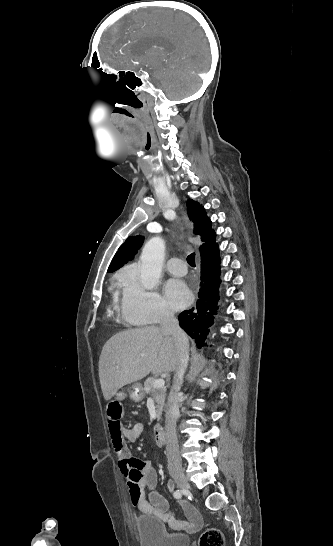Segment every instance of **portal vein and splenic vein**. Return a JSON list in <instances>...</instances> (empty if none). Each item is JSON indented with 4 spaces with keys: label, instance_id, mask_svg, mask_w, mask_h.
I'll list each match as a JSON object with an SVG mask.
<instances>
[{
    "label": "portal vein and splenic vein",
    "instance_id": "portal-vein-and-splenic-vein-1",
    "mask_svg": "<svg viewBox=\"0 0 333 546\" xmlns=\"http://www.w3.org/2000/svg\"><path fill=\"white\" fill-rule=\"evenodd\" d=\"M164 385H165V380L163 378L155 379V381L153 382L154 388H163Z\"/></svg>",
    "mask_w": 333,
    "mask_h": 546
}]
</instances>
